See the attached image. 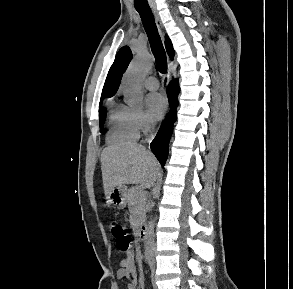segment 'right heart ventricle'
<instances>
[{"label":"right heart ventricle","instance_id":"1","mask_svg":"<svg viewBox=\"0 0 293 289\" xmlns=\"http://www.w3.org/2000/svg\"><path fill=\"white\" fill-rule=\"evenodd\" d=\"M109 131L107 140L111 144L135 141L139 131L134 118V110L124 104L108 102Z\"/></svg>","mask_w":293,"mask_h":289}]
</instances>
